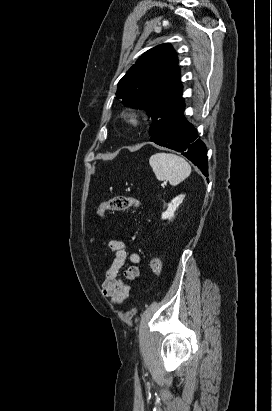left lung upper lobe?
Listing matches in <instances>:
<instances>
[{"instance_id":"5c2ea615","label":"left lung upper lobe","mask_w":272,"mask_h":411,"mask_svg":"<svg viewBox=\"0 0 272 411\" xmlns=\"http://www.w3.org/2000/svg\"><path fill=\"white\" fill-rule=\"evenodd\" d=\"M177 64L172 46L161 44L145 52L118 83L116 98L153 119L150 136L185 107Z\"/></svg>"}]
</instances>
